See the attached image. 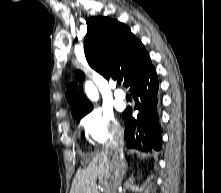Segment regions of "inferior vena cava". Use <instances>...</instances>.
Wrapping results in <instances>:
<instances>
[{
	"instance_id": "602c4592",
	"label": "inferior vena cava",
	"mask_w": 221,
	"mask_h": 193,
	"mask_svg": "<svg viewBox=\"0 0 221 193\" xmlns=\"http://www.w3.org/2000/svg\"><path fill=\"white\" fill-rule=\"evenodd\" d=\"M124 136L122 131H117L110 143L108 144L109 150L113 153L114 170L113 176L110 181L109 193H117L121 185L123 175L125 173L126 163L123 155Z\"/></svg>"
}]
</instances>
